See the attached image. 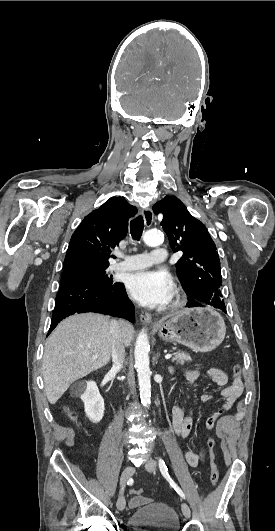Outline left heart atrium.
<instances>
[{"label": "left heart atrium", "instance_id": "obj_1", "mask_svg": "<svg viewBox=\"0 0 275 531\" xmlns=\"http://www.w3.org/2000/svg\"><path fill=\"white\" fill-rule=\"evenodd\" d=\"M126 287L142 305L157 307L169 301L173 283L167 271L144 268L127 275Z\"/></svg>", "mask_w": 275, "mask_h": 531}]
</instances>
